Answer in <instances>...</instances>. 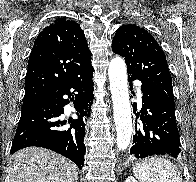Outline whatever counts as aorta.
Segmentation results:
<instances>
[{
	"label": "aorta",
	"mask_w": 196,
	"mask_h": 182,
	"mask_svg": "<svg viewBox=\"0 0 196 182\" xmlns=\"http://www.w3.org/2000/svg\"><path fill=\"white\" fill-rule=\"evenodd\" d=\"M108 75L112 94L117 147L124 151L132 136L131 106L129 101L127 72L124 60L115 57L110 61Z\"/></svg>",
	"instance_id": "aorta-1"
}]
</instances>
